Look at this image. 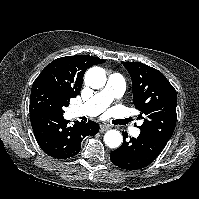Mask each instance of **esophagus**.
Segmentation results:
<instances>
[{
  "instance_id": "1",
  "label": "esophagus",
  "mask_w": 199,
  "mask_h": 199,
  "mask_svg": "<svg viewBox=\"0 0 199 199\" xmlns=\"http://www.w3.org/2000/svg\"><path fill=\"white\" fill-rule=\"evenodd\" d=\"M110 128L109 125H100V132H104Z\"/></svg>"
}]
</instances>
